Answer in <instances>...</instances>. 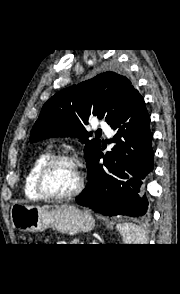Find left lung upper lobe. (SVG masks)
Returning a JSON list of instances; mask_svg holds the SVG:
<instances>
[{"label": "left lung upper lobe", "instance_id": "5c2ea615", "mask_svg": "<svg viewBox=\"0 0 180 294\" xmlns=\"http://www.w3.org/2000/svg\"><path fill=\"white\" fill-rule=\"evenodd\" d=\"M138 93L131 81L116 72L107 71L52 96L42 107L31 131V142L48 137L77 136L85 144L86 165L101 147L99 140L84 128L90 115L105 118L111 124Z\"/></svg>", "mask_w": 180, "mask_h": 294}]
</instances>
